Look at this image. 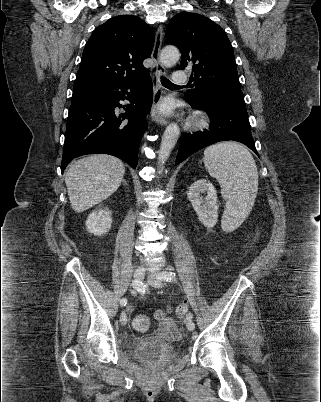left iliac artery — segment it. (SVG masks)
I'll list each match as a JSON object with an SVG mask.
<instances>
[{
	"label": "left iliac artery",
	"instance_id": "1",
	"mask_svg": "<svg viewBox=\"0 0 321 402\" xmlns=\"http://www.w3.org/2000/svg\"><path fill=\"white\" fill-rule=\"evenodd\" d=\"M158 277H159L160 280H164V281H168V282H171V281L176 280V278H175V273H174V272H171V271H169V272H163V273H161ZM186 318H187V319H192V318H193V315H192L191 313H189V314H187V317H186Z\"/></svg>",
	"mask_w": 321,
	"mask_h": 402
}]
</instances>
